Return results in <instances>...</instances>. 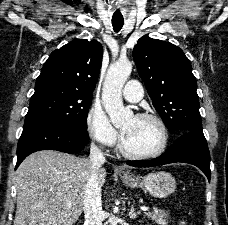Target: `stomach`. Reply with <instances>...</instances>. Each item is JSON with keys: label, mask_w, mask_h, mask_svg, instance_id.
Returning a JSON list of instances; mask_svg holds the SVG:
<instances>
[{"label": "stomach", "mask_w": 228, "mask_h": 225, "mask_svg": "<svg viewBox=\"0 0 228 225\" xmlns=\"http://www.w3.org/2000/svg\"><path fill=\"white\" fill-rule=\"evenodd\" d=\"M121 181L125 183L126 187H141L144 191H147L152 197H157V199H164L167 195L174 193L176 189V181L170 173H165V171H153L149 173L146 177H120Z\"/></svg>", "instance_id": "1"}]
</instances>
